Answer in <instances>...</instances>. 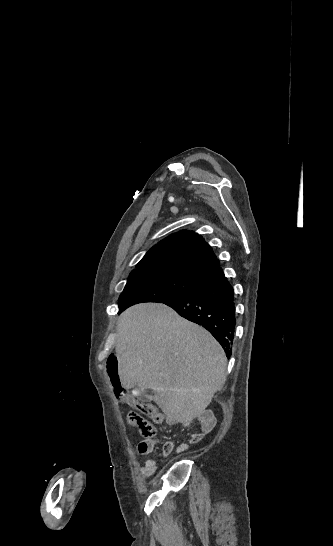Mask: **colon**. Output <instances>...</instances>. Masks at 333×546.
Here are the masks:
<instances>
[{
    "label": "colon",
    "mask_w": 333,
    "mask_h": 546,
    "mask_svg": "<svg viewBox=\"0 0 333 546\" xmlns=\"http://www.w3.org/2000/svg\"><path fill=\"white\" fill-rule=\"evenodd\" d=\"M106 370L117 398L134 410L127 414V424L136 427L143 437H154L156 434L155 427L142 414L152 417L156 413L155 407L150 403L130 397L128 392L122 388L119 377V361L115 355L108 356Z\"/></svg>",
    "instance_id": "1"
}]
</instances>
